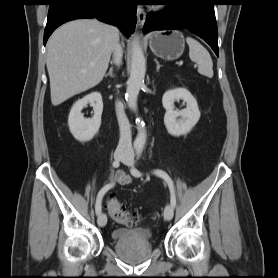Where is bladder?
<instances>
[{
    "instance_id": "bladder-1",
    "label": "bladder",
    "mask_w": 278,
    "mask_h": 278,
    "mask_svg": "<svg viewBox=\"0 0 278 278\" xmlns=\"http://www.w3.org/2000/svg\"><path fill=\"white\" fill-rule=\"evenodd\" d=\"M112 239L124 244H148L152 240V233L145 228H116L111 233Z\"/></svg>"
}]
</instances>
